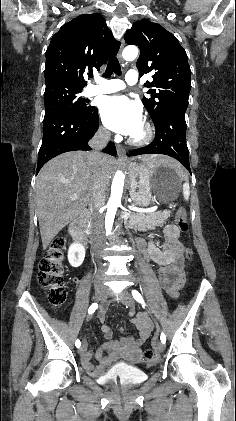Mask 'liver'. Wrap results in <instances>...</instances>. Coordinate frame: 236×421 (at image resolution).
<instances>
[{
    "instance_id": "liver-1",
    "label": "liver",
    "mask_w": 236,
    "mask_h": 421,
    "mask_svg": "<svg viewBox=\"0 0 236 421\" xmlns=\"http://www.w3.org/2000/svg\"><path fill=\"white\" fill-rule=\"evenodd\" d=\"M140 158L146 166L174 164L177 170L183 168L171 156L140 154ZM91 162H94L93 158L84 150L63 152L48 160L36 176V208L44 251L59 231L85 211L92 200L95 182H102L105 190L109 186L114 158L101 154L97 166ZM73 194H77L76 200L70 198Z\"/></svg>"
}]
</instances>
